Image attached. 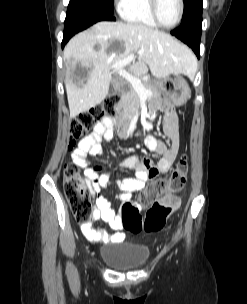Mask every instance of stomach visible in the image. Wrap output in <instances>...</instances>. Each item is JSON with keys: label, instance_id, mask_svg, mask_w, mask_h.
<instances>
[{"label": "stomach", "instance_id": "1", "mask_svg": "<svg viewBox=\"0 0 247 304\" xmlns=\"http://www.w3.org/2000/svg\"><path fill=\"white\" fill-rule=\"evenodd\" d=\"M161 88L174 106L185 104L191 93L187 81L180 74H174L170 83L168 85L161 84Z\"/></svg>", "mask_w": 247, "mask_h": 304}]
</instances>
